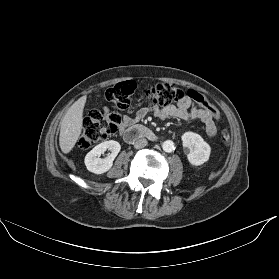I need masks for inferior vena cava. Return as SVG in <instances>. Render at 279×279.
I'll list each match as a JSON object with an SVG mask.
<instances>
[{
    "label": "inferior vena cava",
    "mask_w": 279,
    "mask_h": 279,
    "mask_svg": "<svg viewBox=\"0 0 279 279\" xmlns=\"http://www.w3.org/2000/svg\"><path fill=\"white\" fill-rule=\"evenodd\" d=\"M147 143H148L147 139L141 138V139H138L137 141H135L134 147L136 149H141V148H144L147 145Z\"/></svg>",
    "instance_id": "inferior-vena-cava-1"
}]
</instances>
